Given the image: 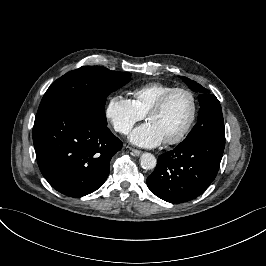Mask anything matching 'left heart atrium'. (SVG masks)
Instances as JSON below:
<instances>
[{
    "label": "left heart atrium",
    "instance_id": "left-heart-atrium-1",
    "mask_svg": "<svg viewBox=\"0 0 266 266\" xmlns=\"http://www.w3.org/2000/svg\"><path fill=\"white\" fill-rule=\"evenodd\" d=\"M133 143L144 147H153L161 144L164 139L159 130L150 122L138 126L130 135Z\"/></svg>",
    "mask_w": 266,
    "mask_h": 266
}]
</instances>
